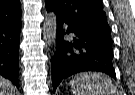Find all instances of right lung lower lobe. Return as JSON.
<instances>
[{"label": "right lung lower lobe", "instance_id": "right-lung-lower-lobe-1", "mask_svg": "<svg viewBox=\"0 0 135 95\" xmlns=\"http://www.w3.org/2000/svg\"><path fill=\"white\" fill-rule=\"evenodd\" d=\"M21 16L0 20V75L18 87Z\"/></svg>", "mask_w": 135, "mask_h": 95}]
</instances>
